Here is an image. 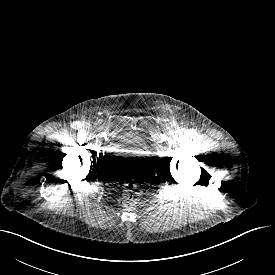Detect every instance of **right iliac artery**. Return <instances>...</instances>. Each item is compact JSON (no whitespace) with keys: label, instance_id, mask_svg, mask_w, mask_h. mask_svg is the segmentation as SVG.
Listing matches in <instances>:
<instances>
[{"label":"right iliac artery","instance_id":"1","mask_svg":"<svg viewBox=\"0 0 275 275\" xmlns=\"http://www.w3.org/2000/svg\"><path fill=\"white\" fill-rule=\"evenodd\" d=\"M80 125H81V123L80 122H73V124H72V128H74V129H78L79 127H80Z\"/></svg>","mask_w":275,"mask_h":275}]
</instances>
